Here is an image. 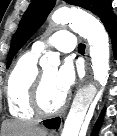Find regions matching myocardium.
Listing matches in <instances>:
<instances>
[{"label": "myocardium", "mask_w": 117, "mask_h": 136, "mask_svg": "<svg viewBox=\"0 0 117 136\" xmlns=\"http://www.w3.org/2000/svg\"><path fill=\"white\" fill-rule=\"evenodd\" d=\"M44 77L43 73H39L31 91L30 105L35 114L42 117H49L62 112L68 103L67 95L64 96L61 104L53 110H47L44 108L41 102V91L43 88Z\"/></svg>", "instance_id": "myocardium-1"}]
</instances>
